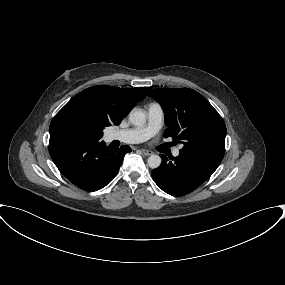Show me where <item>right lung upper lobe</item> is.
<instances>
[{
  "mask_svg": "<svg viewBox=\"0 0 285 285\" xmlns=\"http://www.w3.org/2000/svg\"><path fill=\"white\" fill-rule=\"evenodd\" d=\"M151 87L122 89L98 85L75 95L53 118L49 132L67 134L73 124H81L94 130L119 125L131 109L151 90Z\"/></svg>",
  "mask_w": 285,
  "mask_h": 285,
  "instance_id": "right-lung-upper-lobe-1",
  "label": "right lung upper lobe"
}]
</instances>
